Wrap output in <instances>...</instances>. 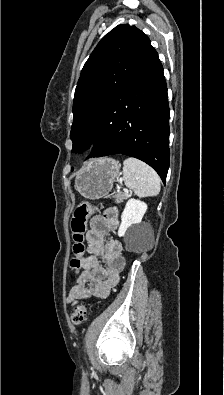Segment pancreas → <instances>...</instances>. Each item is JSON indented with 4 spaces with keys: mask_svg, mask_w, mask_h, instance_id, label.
<instances>
[{
    "mask_svg": "<svg viewBox=\"0 0 224 395\" xmlns=\"http://www.w3.org/2000/svg\"><path fill=\"white\" fill-rule=\"evenodd\" d=\"M128 197H129V194H128V193H121V192H118L117 194L114 195V198H115L116 203H121V202H123L124 200H126Z\"/></svg>",
    "mask_w": 224,
    "mask_h": 395,
    "instance_id": "1",
    "label": "pancreas"
}]
</instances>
